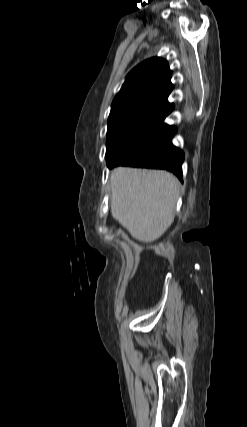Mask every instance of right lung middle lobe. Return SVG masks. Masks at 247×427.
I'll list each match as a JSON object with an SVG mask.
<instances>
[{
    "label": "right lung middle lobe",
    "mask_w": 247,
    "mask_h": 427,
    "mask_svg": "<svg viewBox=\"0 0 247 427\" xmlns=\"http://www.w3.org/2000/svg\"><path fill=\"white\" fill-rule=\"evenodd\" d=\"M148 115L149 113L143 111H124L110 114L106 142L107 163L131 131Z\"/></svg>",
    "instance_id": "dd1d6c3e"
}]
</instances>
